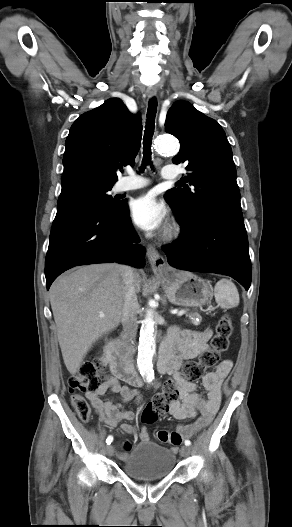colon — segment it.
<instances>
[{
	"instance_id": "colon-1",
	"label": "colon",
	"mask_w": 292,
	"mask_h": 527,
	"mask_svg": "<svg viewBox=\"0 0 292 527\" xmlns=\"http://www.w3.org/2000/svg\"><path fill=\"white\" fill-rule=\"evenodd\" d=\"M232 332L231 317L228 314L222 315L216 324L211 347L201 354L198 361L188 362L183 367L182 377L187 382L196 383L207 371L214 369L219 364L222 353L229 347ZM103 370L104 363L102 360L85 362L69 378L68 385L72 406L78 417L84 422L90 419L91 409L82 393L95 392L100 388L104 378ZM175 397L174 388L170 385L165 386L144 408L142 422L153 424L159 420L168 412L169 402Z\"/></svg>"
}]
</instances>
